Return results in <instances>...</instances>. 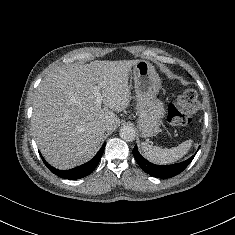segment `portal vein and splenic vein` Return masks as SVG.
<instances>
[{
    "mask_svg": "<svg viewBox=\"0 0 235 235\" xmlns=\"http://www.w3.org/2000/svg\"><path fill=\"white\" fill-rule=\"evenodd\" d=\"M94 91H95L94 94H95L96 103L98 105H100L102 103L103 97H102L101 93L99 92V87L95 86Z\"/></svg>",
    "mask_w": 235,
    "mask_h": 235,
    "instance_id": "obj_1",
    "label": "portal vein and splenic vein"
}]
</instances>
